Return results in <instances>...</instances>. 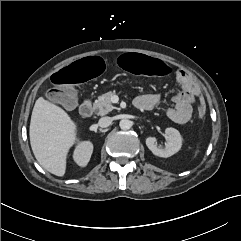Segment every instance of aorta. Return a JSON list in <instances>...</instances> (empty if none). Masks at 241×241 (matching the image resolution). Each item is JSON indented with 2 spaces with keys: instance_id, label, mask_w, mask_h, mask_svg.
Instances as JSON below:
<instances>
[{
  "instance_id": "aorta-1",
  "label": "aorta",
  "mask_w": 241,
  "mask_h": 241,
  "mask_svg": "<svg viewBox=\"0 0 241 241\" xmlns=\"http://www.w3.org/2000/svg\"><path fill=\"white\" fill-rule=\"evenodd\" d=\"M119 126L122 130H129L132 127V122L128 119H123L120 121Z\"/></svg>"
}]
</instances>
